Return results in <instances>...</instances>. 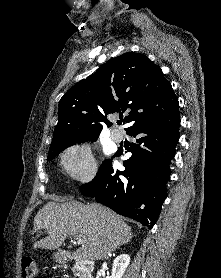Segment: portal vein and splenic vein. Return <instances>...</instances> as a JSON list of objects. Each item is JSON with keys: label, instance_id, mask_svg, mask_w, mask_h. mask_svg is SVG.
<instances>
[{"label": "portal vein and splenic vein", "instance_id": "18ae733b", "mask_svg": "<svg viewBox=\"0 0 221 278\" xmlns=\"http://www.w3.org/2000/svg\"><path fill=\"white\" fill-rule=\"evenodd\" d=\"M76 240L79 244H82L84 242V240L80 237H77Z\"/></svg>", "mask_w": 221, "mask_h": 278}]
</instances>
